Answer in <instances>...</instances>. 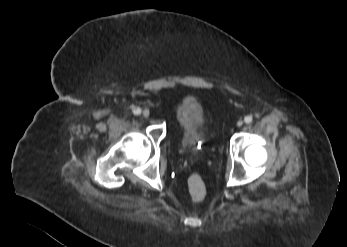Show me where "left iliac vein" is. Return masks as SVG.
I'll return each mask as SVG.
<instances>
[{"label":"left iliac vein","mask_w":347,"mask_h":247,"mask_svg":"<svg viewBox=\"0 0 347 247\" xmlns=\"http://www.w3.org/2000/svg\"><path fill=\"white\" fill-rule=\"evenodd\" d=\"M243 125V121L242 120H239L238 122H237V126L238 127H241Z\"/></svg>","instance_id":"4c4485c4"}]
</instances>
